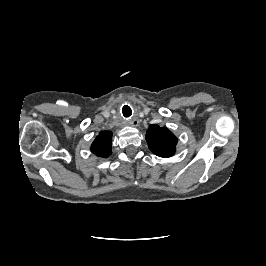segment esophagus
Returning a JSON list of instances; mask_svg holds the SVG:
<instances>
[{"instance_id": "obj_1", "label": "esophagus", "mask_w": 266, "mask_h": 266, "mask_svg": "<svg viewBox=\"0 0 266 266\" xmlns=\"http://www.w3.org/2000/svg\"><path fill=\"white\" fill-rule=\"evenodd\" d=\"M129 124H130L131 126L137 127V126L139 125V121H138V119L134 118V119H132V120L129 122Z\"/></svg>"}]
</instances>
